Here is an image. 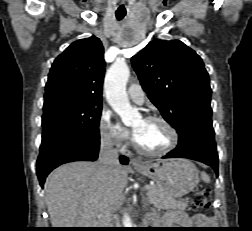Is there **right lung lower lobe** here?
Segmentation results:
<instances>
[{"mask_svg": "<svg viewBox=\"0 0 252 231\" xmlns=\"http://www.w3.org/2000/svg\"><path fill=\"white\" fill-rule=\"evenodd\" d=\"M100 139L78 134H59L42 141L37 159V176L43 187L47 175L61 164L72 161H95L98 158ZM122 164L128 158L120 156Z\"/></svg>", "mask_w": 252, "mask_h": 231, "instance_id": "right-lung-lower-lobe-1", "label": "right lung lower lobe"}]
</instances>
